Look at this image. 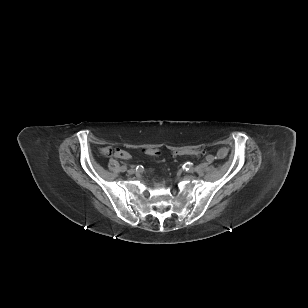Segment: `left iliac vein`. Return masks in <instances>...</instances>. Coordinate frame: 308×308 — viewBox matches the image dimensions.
<instances>
[{"mask_svg":"<svg viewBox=\"0 0 308 308\" xmlns=\"http://www.w3.org/2000/svg\"><path fill=\"white\" fill-rule=\"evenodd\" d=\"M194 171H195V168H193V167H191V168L188 170L189 173H193Z\"/></svg>","mask_w":308,"mask_h":308,"instance_id":"1","label":"left iliac vein"}]
</instances>
